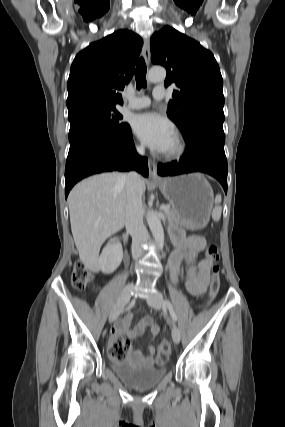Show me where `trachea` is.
Here are the masks:
<instances>
[{
	"mask_svg": "<svg viewBox=\"0 0 285 427\" xmlns=\"http://www.w3.org/2000/svg\"><path fill=\"white\" fill-rule=\"evenodd\" d=\"M146 72H147V67L144 59L141 57L137 63L136 70H135V79H136L137 89H141L142 87L147 86Z\"/></svg>",
	"mask_w": 285,
	"mask_h": 427,
	"instance_id": "obj_1",
	"label": "trachea"
}]
</instances>
